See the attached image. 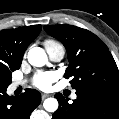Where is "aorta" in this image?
I'll list each match as a JSON object with an SVG mask.
<instances>
[{
	"instance_id": "aorta-1",
	"label": "aorta",
	"mask_w": 119,
	"mask_h": 119,
	"mask_svg": "<svg viewBox=\"0 0 119 119\" xmlns=\"http://www.w3.org/2000/svg\"><path fill=\"white\" fill-rule=\"evenodd\" d=\"M28 61L33 66L41 67L47 64L48 59L42 48L33 47L28 52ZM43 106L46 111L55 112L58 109V101L55 98H47Z\"/></svg>"
}]
</instances>
